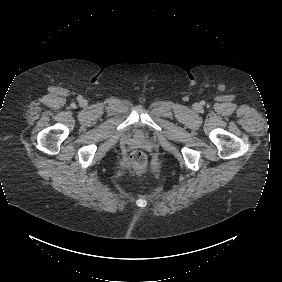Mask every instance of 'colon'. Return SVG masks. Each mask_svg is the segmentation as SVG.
Returning <instances> with one entry per match:
<instances>
[{"mask_svg": "<svg viewBox=\"0 0 282 282\" xmlns=\"http://www.w3.org/2000/svg\"><path fill=\"white\" fill-rule=\"evenodd\" d=\"M131 166L137 172H144L150 166V158L143 148H136L131 153Z\"/></svg>", "mask_w": 282, "mask_h": 282, "instance_id": "colon-1", "label": "colon"}]
</instances>
